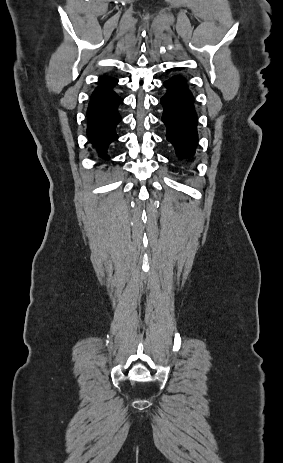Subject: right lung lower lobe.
Returning a JSON list of instances; mask_svg holds the SVG:
<instances>
[{
  "instance_id": "right-lung-lower-lobe-1",
  "label": "right lung lower lobe",
  "mask_w": 283,
  "mask_h": 463,
  "mask_svg": "<svg viewBox=\"0 0 283 463\" xmlns=\"http://www.w3.org/2000/svg\"><path fill=\"white\" fill-rule=\"evenodd\" d=\"M117 82L112 77L99 80L87 110L89 139L104 158H109L105 150L108 144L117 140L115 127L121 121L117 108L122 99L112 90Z\"/></svg>"
}]
</instances>
